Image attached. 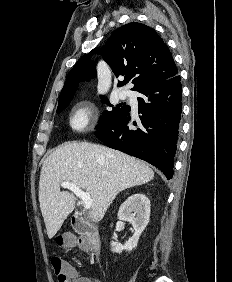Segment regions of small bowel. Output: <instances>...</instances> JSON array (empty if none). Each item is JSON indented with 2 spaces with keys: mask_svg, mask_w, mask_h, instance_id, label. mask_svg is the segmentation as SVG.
I'll use <instances>...</instances> for the list:
<instances>
[{
  "mask_svg": "<svg viewBox=\"0 0 232 282\" xmlns=\"http://www.w3.org/2000/svg\"><path fill=\"white\" fill-rule=\"evenodd\" d=\"M72 282H100V280L92 275H81L73 268Z\"/></svg>",
  "mask_w": 232,
  "mask_h": 282,
  "instance_id": "1",
  "label": "small bowel"
}]
</instances>
